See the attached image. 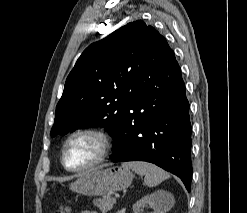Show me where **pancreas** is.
Segmentation results:
<instances>
[{
	"instance_id": "1",
	"label": "pancreas",
	"mask_w": 247,
	"mask_h": 213,
	"mask_svg": "<svg viewBox=\"0 0 247 213\" xmlns=\"http://www.w3.org/2000/svg\"><path fill=\"white\" fill-rule=\"evenodd\" d=\"M93 203L102 211V213H107L113 208V202L110 194L104 195L102 198L95 199Z\"/></svg>"
}]
</instances>
